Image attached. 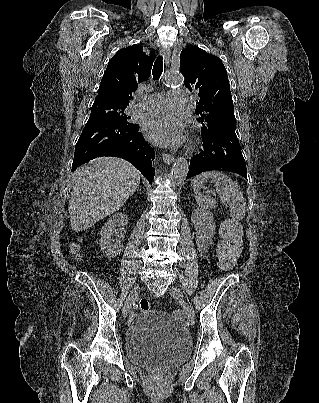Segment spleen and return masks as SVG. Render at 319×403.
Masks as SVG:
<instances>
[{"label": "spleen", "mask_w": 319, "mask_h": 403, "mask_svg": "<svg viewBox=\"0 0 319 403\" xmlns=\"http://www.w3.org/2000/svg\"><path fill=\"white\" fill-rule=\"evenodd\" d=\"M207 179H211L214 182L215 190L221 201L224 204L229 205L230 217L232 220H242L246 213V200L243 196V192L234 180L222 172H204L192 180L191 185L194 190L197 204L203 209H215L217 207L216 200L207 195L203 196L200 193L199 186L197 185L198 181L204 182Z\"/></svg>", "instance_id": "1"}]
</instances>
